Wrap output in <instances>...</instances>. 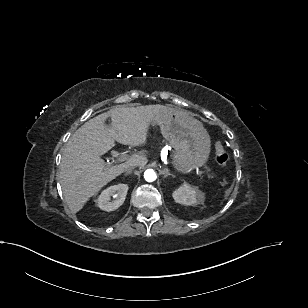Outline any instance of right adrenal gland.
Segmentation results:
<instances>
[{
	"instance_id": "obj_1",
	"label": "right adrenal gland",
	"mask_w": 308,
	"mask_h": 308,
	"mask_svg": "<svg viewBox=\"0 0 308 308\" xmlns=\"http://www.w3.org/2000/svg\"><path fill=\"white\" fill-rule=\"evenodd\" d=\"M131 173H132V170L127 171V172L124 174V176H127V175H129V174H131Z\"/></svg>"
}]
</instances>
